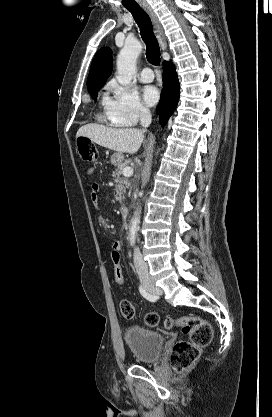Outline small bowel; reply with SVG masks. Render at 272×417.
Returning a JSON list of instances; mask_svg holds the SVG:
<instances>
[{"label":"small bowel","mask_w":272,"mask_h":417,"mask_svg":"<svg viewBox=\"0 0 272 417\" xmlns=\"http://www.w3.org/2000/svg\"><path fill=\"white\" fill-rule=\"evenodd\" d=\"M95 167H90L87 170V175H92L95 172ZM90 197L91 200L93 202V204L98 207L99 205V185L97 183H93L91 185V190H90ZM121 249V241L120 240H115L112 244V250H117L120 251Z\"/></svg>","instance_id":"1"}]
</instances>
